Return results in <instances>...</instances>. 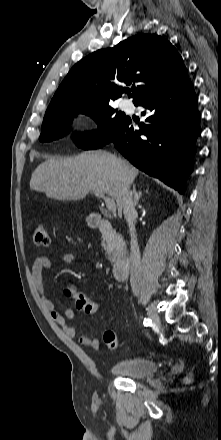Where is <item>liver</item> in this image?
<instances>
[{
    "mask_svg": "<svg viewBox=\"0 0 221 440\" xmlns=\"http://www.w3.org/2000/svg\"><path fill=\"white\" fill-rule=\"evenodd\" d=\"M138 169L107 151H88L70 159L50 158L33 172L30 189L60 201L82 200L100 191L115 199L122 215L124 188L131 185Z\"/></svg>",
    "mask_w": 221,
    "mask_h": 440,
    "instance_id": "obj_1",
    "label": "liver"
}]
</instances>
